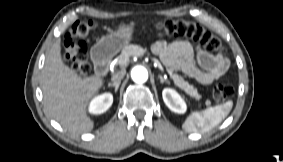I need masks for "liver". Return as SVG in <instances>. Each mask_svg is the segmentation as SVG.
<instances>
[{"label": "liver", "instance_id": "1", "mask_svg": "<svg viewBox=\"0 0 283 162\" xmlns=\"http://www.w3.org/2000/svg\"><path fill=\"white\" fill-rule=\"evenodd\" d=\"M103 84L99 75L82 77L66 65L59 41L51 46L42 69L41 87L46 111L65 130L82 134L93 129L87 106Z\"/></svg>", "mask_w": 283, "mask_h": 162}]
</instances>
